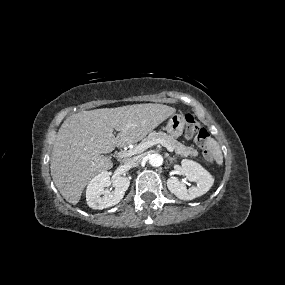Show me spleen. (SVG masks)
I'll list each match as a JSON object with an SVG mask.
<instances>
[{
    "label": "spleen",
    "instance_id": "1",
    "mask_svg": "<svg viewBox=\"0 0 285 285\" xmlns=\"http://www.w3.org/2000/svg\"><path fill=\"white\" fill-rule=\"evenodd\" d=\"M208 148L210 150L211 157L216 161L218 165H222L223 155L217 141H215L214 139H210L208 142Z\"/></svg>",
    "mask_w": 285,
    "mask_h": 285
}]
</instances>
